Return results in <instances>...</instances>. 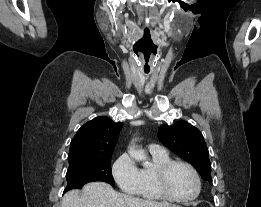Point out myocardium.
Returning <instances> with one entry per match:
<instances>
[{
	"mask_svg": "<svg viewBox=\"0 0 261 207\" xmlns=\"http://www.w3.org/2000/svg\"><path fill=\"white\" fill-rule=\"evenodd\" d=\"M176 165H182L186 167L193 175L195 183H196V191L195 193L188 198H179L174 196L167 184V179H168V174L170 170L176 166ZM155 180H156V185L159 190V192L162 194V196L170 201L177 202V203H189L194 201L198 196L200 195L201 192V179L200 176L197 172V170L194 168L193 165L190 163L183 161V160H170L162 165H160L155 172Z\"/></svg>",
	"mask_w": 261,
	"mask_h": 207,
	"instance_id": "myocardium-1",
	"label": "myocardium"
}]
</instances>
